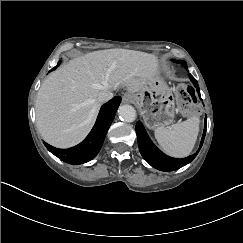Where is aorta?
<instances>
[{
	"label": "aorta",
	"mask_w": 243,
	"mask_h": 243,
	"mask_svg": "<svg viewBox=\"0 0 243 243\" xmlns=\"http://www.w3.org/2000/svg\"><path fill=\"white\" fill-rule=\"evenodd\" d=\"M117 114L125 122H133L136 119V110L127 104H122L117 109Z\"/></svg>",
	"instance_id": "aorta-1"
}]
</instances>
